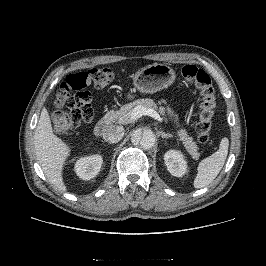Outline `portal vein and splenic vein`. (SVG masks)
I'll return each mask as SVG.
<instances>
[{"mask_svg":"<svg viewBox=\"0 0 266 266\" xmlns=\"http://www.w3.org/2000/svg\"><path fill=\"white\" fill-rule=\"evenodd\" d=\"M143 115H148L151 116L152 118H155L156 120H158L159 122H162L163 119L161 118V116L159 115L158 112H156L155 110L151 109V108H146L144 106H136L132 113H131V118L133 120H136L138 118H140Z\"/></svg>","mask_w":266,"mask_h":266,"instance_id":"1","label":"portal vein and splenic vein"}]
</instances>
